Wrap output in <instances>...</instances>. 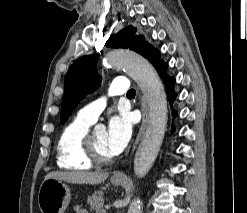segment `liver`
I'll return each instance as SVG.
<instances>
[{
  "label": "liver",
  "mask_w": 247,
  "mask_h": 213,
  "mask_svg": "<svg viewBox=\"0 0 247 213\" xmlns=\"http://www.w3.org/2000/svg\"><path fill=\"white\" fill-rule=\"evenodd\" d=\"M109 173L107 172H50L46 175L45 179H56L59 181H65L72 184H100L107 179Z\"/></svg>",
  "instance_id": "obj_1"
}]
</instances>
